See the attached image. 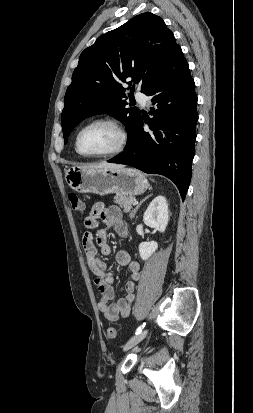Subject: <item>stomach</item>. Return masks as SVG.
<instances>
[{
	"label": "stomach",
	"mask_w": 253,
	"mask_h": 413,
	"mask_svg": "<svg viewBox=\"0 0 253 413\" xmlns=\"http://www.w3.org/2000/svg\"><path fill=\"white\" fill-rule=\"evenodd\" d=\"M68 186L80 193L107 195L111 193L134 196L144 193L149 187L146 177L137 169H90L71 167L66 170Z\"/></svg>",
	"instance_id": "stomach-1"
}]
</instances>
